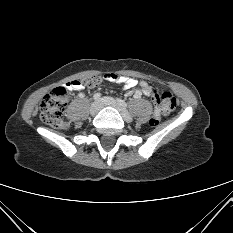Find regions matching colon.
<instances>
[{
  "label": "colon",
  "mask_w": 233,
  "mask_h": 233,
  "mask_svg": "<svg viewBox=\"0 0 233 233\" xmlns=\"http://www.w3.org/2000/svg\"><path fill=\"white\" fill-rule=\"evenodd\" d=\"M103 75H91L81 80L87 88H94L104 82L102 79ZM68 90L63 89V87H57L47 94L40 104L41 119L57 129H65L69 126V122L64 117V110L68 100ZM154 103L156 113L149 121L151 126H156L159 123L160 114L167 115L171 113L175 109L177 101L170 92L164 91L158 94L155 91Z\"/></svg>",
  "instance_id": "obj_1"
}]
</instances>
